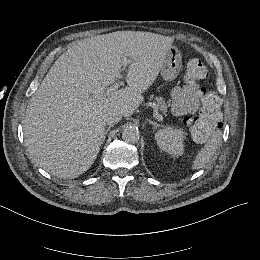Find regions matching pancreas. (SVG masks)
Returning a JSON list of instances; mask_svg holds the SVG:
<instances>
[{
  "label": "pancreas",
  "mask_w": 260,
  "mask_h": 260,
  "mask_svg": "<svg viewBox=\"0 0 260 260\" xmlns=\"http://www.w3.org/2000/svg\"><path fill=\"white\" fill-rule=\"evenodd\" d=\"M152 106L158 109L165 117L169 115L168 104L162 97H155Z\"/></svg>",
  "instance_id": "1"
}]
</instances>
